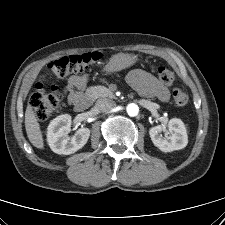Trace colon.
I'll use <instances>...</instances> for the list:
<instances>
[{"label":"colon","instance_id":"5ec220e1","mask_svg":"<svg viewBox=\"0 0 225 225\" xmlns=\"http://www.w3.org/2000/svg\"><path fill=\"white\" fill-rule=\"evenodd\" d=\"M100 60L97 52H86L69 55L49 64V69L57 77H63L69 73H79L95 65ZM160 80L165 84H171L175 77L172 71L165 67L158 68ZM62 99L58 90L46 92L41 83L37 84L30 99V105L40 121L47 120L55 111ZM173 99L178 106H185L188 103V95L181 88L173 90Z\"/></svg>","mask_w":225,"mask_h":225}]
</instances>
